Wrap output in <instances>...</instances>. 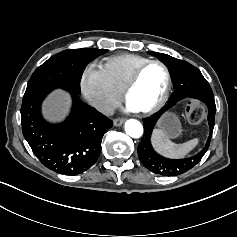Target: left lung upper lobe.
Returning a JSON list of instances; mask_svg holds the SVG:
<instances>
[{"label": "left lung upper lobe", "instance_id": "1", "mask_svg": "<svg viewBox=\"0 0 237 237\" xmlns=\"http://www.w3.org/2000/svg\"><path fill=\"white\" fill-rule=\"evenodd\" d=\"M158 57L170 70L174 83V92L167 104L172 107L176 102L184 98L203 100L214 98L212 89L200 70L190 63L171 57L166 54L149 52ZM159 115L144 119V137L138 146V156L142 164L155 174L164 176H177L190 170L206 153L211 140V135L205 147L196 155L185 159H167L157 154L150 143V136Z\"/></svg>", "mask_w": 237, "mask_h": 237}]
</instances>
